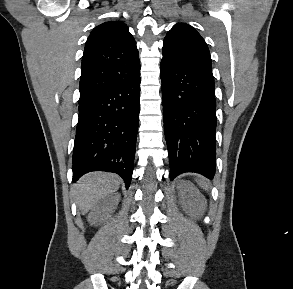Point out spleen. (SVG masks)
<instances>
[{
    "label": "spleen",
    "mask_w": 293,
    "mask_h": 289,
    "mask_svg": "<svg viewBox=\"0 0 293 289\" xmlns=\"http://www.w3.org/2000/svg\"><path fill=\"white\" fill-rule=\"evenodd\" d=\"M196 181L203 189L208 190V183L204 179H200Z\"/></svg>",
    "instance_id": "obj_1"
}]
</instances>
